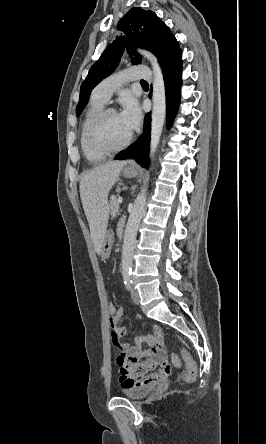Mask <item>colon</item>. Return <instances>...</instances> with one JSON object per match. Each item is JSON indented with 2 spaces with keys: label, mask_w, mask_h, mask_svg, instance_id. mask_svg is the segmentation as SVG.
Masks as SVG:
<instances>
[{
  "label": "colon",
  "mask_w": 266,
  "mask_h": 444,
  "mask_svg": "<svg viewBox=\"0 0 266 444\" xmlns=\"http://www.w3.org/2000/svg\"><path fill=\"white\" fill-rule=\"evenodd\" d=\"M107 311L110 316V319H112L117 314L118 309L114 302H108ZM181 354H182V359L185 363L184 380L188 383H192L197 378L196 363L188 351L183 349ZM171 360L174 366L176 367L181 366V360L177 354L173 353L171 355Z\"/></svg>",
  "instance_id": "colon-1"
}]
</instances>
